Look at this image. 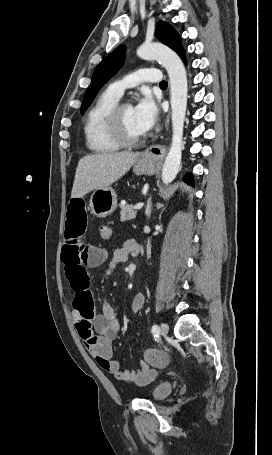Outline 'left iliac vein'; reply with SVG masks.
Segmentation results:
<instances>
[{
  "mask_svg": "<svg viewBox=\"0 0 272 455\" xmlns=\"http://www.w3.org/2000/svg\"><path fill=\"white\" fill-rule=\"evenodd\" d=\"M168 333H169V327H168V325H167L166 323H162V324H161V334H162L163 336H166V335H168Z\"/></svg>",
  "mask_w": 272,
  "mask_h": 455,
  "instance_id": "left-iliac-vein-1",
  "label": "left iliac vein"
}]
</instances>
